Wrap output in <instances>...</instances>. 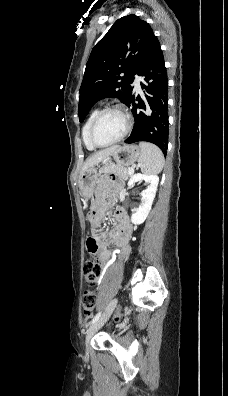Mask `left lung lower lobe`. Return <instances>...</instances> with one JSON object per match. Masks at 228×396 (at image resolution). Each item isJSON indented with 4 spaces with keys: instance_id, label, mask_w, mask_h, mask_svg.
<instances>
[{
    "instance_id": "left-lung-lower-lobe-1",
    "label": "left lung lower lobe",
    "mask_w": 228,
    "mask_h": 396,
    "mask_svg": "<svg viewBox=\"0 0 228 396\" xmlns=\"http://www.w3.org/2000/svg\"><path fill=\"white\" fill-rule=\"evenodd\" d=\"M139 75L145 95L135 98L132 94L126 105H132L134 128L125 143L139 141L157 145L166 155L168 146V78L160 43L156 38ZM138 101V104L135 103Z\"/></svg>"
}]
</instances>
